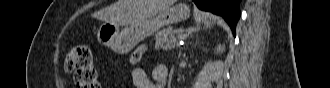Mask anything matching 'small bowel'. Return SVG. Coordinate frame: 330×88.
<instances>
[{
	"label": "small bowel",
	"mask_w": 330,
	"mask_h": 88,
	"mask_svg": "<svg viewBox=\"0 0 330 88\" xmlns=\"http://www.w3.org/2000/svg\"><path fill=\"white\" fill-rule=\"evenodd\" d=\"M168 68L165 65H156L152 68L150 80L143 69L132 68L127 78L136 88H163L168 79Z\"/></svg>",
	"instance_id": "obj_1"
}]
</instances>
